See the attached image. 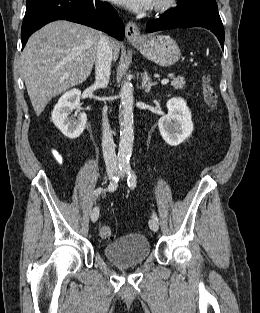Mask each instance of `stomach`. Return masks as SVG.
<instances>
[{
	"instance_id": "0dacf381",
	"label": "stomach",
	"mask_w": 260,
	"mask_h": 313,
	"mask_svg": "<svg viewBox=\"0 0 260 313\" xmlns=\"http://www.w3.org/2000/svg\"><path fill=\"white\" fill-rule=\"evenodd\" d=\"M132 43L143 56L163 67L174 65L181 57L178 44L168 35H148Z\"/></svg>"
}]
</instances>
